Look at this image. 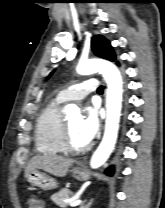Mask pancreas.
I'll return each mask as SVG.
<instances>
[{
  "mask_svg": "<svg viewBox=\"0 0 165 208\" xmlns=\"http://www.w3.org/2000/svg\"><path fill=\"white\" fill-rule=\"evenodd\" d=\"M73 193L69 189H62L59 192L51 196V200L61 208H66L69 203H66L65 200L70 198V195Z\"/></svg>",
  "mask_w": 165,
  "mask_h": 208,
  "instance_id": "obj_1",
  "label": "pancreas"
}]
</instances>
